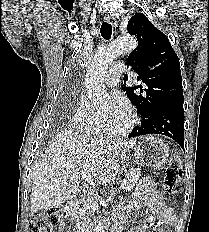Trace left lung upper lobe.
Wrapping results in <instances>:
<instances>
[{"mask_svg": "<svg viewBox=\"0 0 209 232\" xmlns=\"http://www.w3.org/2000/svg\"><path fill=\"white\" fill-rule=\"evenodd\" d=\"M128 32L138 39L127 63L138 73L143 85L126 87V94L142 119L157 109L183 104L180 62L168 38L142 13L128 22ZM127 75L124 80H127Z\"/></svg>", "mask_w": 209, "mask_h": 232, "instance_id": "obj_1", "label": "left lung upper lobe"}]
</instances>
